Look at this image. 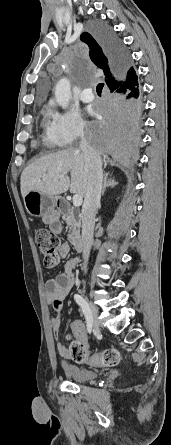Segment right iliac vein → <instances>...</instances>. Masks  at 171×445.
Masks as SVG:
<instances>
[{
	"mask_svg": "<svg viewBox=\"0 0 171 445\" xmlns=\"http://www.w3.org/2000/svg\"><path fill=\"white\" fill-rule=\"evenodd\" d=\"M85 301H86V303H87V305H88V308H89V315H90V319H91L93 328H94L96 331H98V330H99V327H100V322H99V319H98L97 309H96V307H95L92 303H90L87 299H86Z\"/></svg>",
	"mask_w": 171,
	"mask_h": 445,
	"instance_id": "63e3f726",
	"label": "right iliac vein"
}]
</instances>
